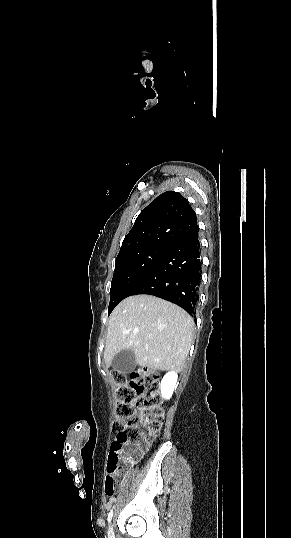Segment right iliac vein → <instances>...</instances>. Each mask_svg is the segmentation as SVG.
<instances>
[{
  "label": "right iliac vein",
  "mask_w": 291,
  "mask_h": 538,
  "mask_svg": "<svg viewBox=\"0 0 291 538\" xmlns=\"http://www.w3.org/2000/svg\"><path fill=\"white\" fill-rule=\"evenodd\" d=\"M108 533H109V538H115V537H114V532H113V528H112V526H109V531H108Z\"/></svg>",
  "instance_id": "right-iliac-vein-1"
}]
</instances>
